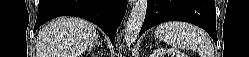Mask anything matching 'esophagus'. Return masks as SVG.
Returning a JSON list of instances; mask_svg holds the SVG:
<instances>
[{
	"label": "esophagus",
	"mask_w": 249,
	"mask_h": 57,
	"mask_svg": "<svg viewBox=\"0 0 249 57\" xmlns=\"http://www.w3.org/2000/svg\"><path fill=\"white\" fill-rule=\"evenodd\" d=\"M128 2L130 5H132L135 2V0H128Z\"/></svg>",
	"instance_id": "1"
}]
</instances>
